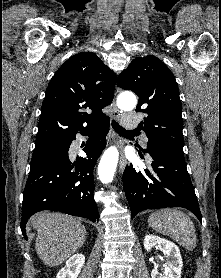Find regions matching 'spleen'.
Segmentation results:
<instances>
[{"label": "spleen", "instance_id": "obj_1", "mask_svg": "<svg viewBox=\"0 0 221 278\" xmlns=\"http://www.w3.org/2000/svg\"><path fill=\"white\" fill-rule=\"evenodd\" d=\"M148 224L158 233L171 237L185 249H195L197 244L195 227L185 213L177 209H161L149 216Z\"/></svg>", "mask_w": 221, "mask_h": 278}]
</instances>
